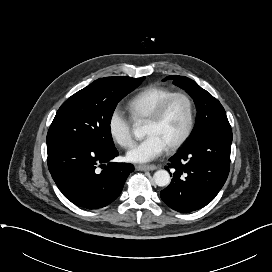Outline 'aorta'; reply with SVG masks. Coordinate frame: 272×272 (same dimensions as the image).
<instances>
[{
    "mask_svg": "<svg viewBox=\"0 0 272 272\" xmlns=\"http://www.w3.org/2000/svg\"><path fill=\"white\" fill-rule=\"evenodd\" d=\"M133 134L136 139H143L146 135L145 127L138 125L133 129ZM153 180L157 186L163 187L169 185L171 178L166 170H158L153 175Z\"/></svg>",
    "mask_w": 272,
    "mask_h": 272,
    "instance_id": "1",
    "label": "aorta"
}]
</instances>
